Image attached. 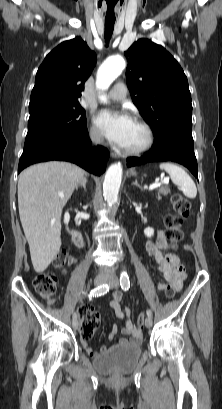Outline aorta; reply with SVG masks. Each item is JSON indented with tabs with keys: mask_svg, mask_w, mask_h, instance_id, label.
I'll return each mask as SVG.
<instances>
[{
	"mask_svg": "<svg viewBox=\"0 0 222 409\" xmlns=\"http://www.w3.org/2000/svg\"><path fill=\"white\" fill-rule=\"evenodd\" d=\"M125 68V61L122 57L115 56L108 58L98 69L96 86L104 91L122 73ZM104 100V97H101ZM122 180V165L115 163L111 165L105 175L103 182V196L109 205L118 200V192Z\"/></svg>",
	"mask_w": 222,
	"mask_h": 409,
	"instance_id": "1",
	"label": "aorta"
}]
</instances>
